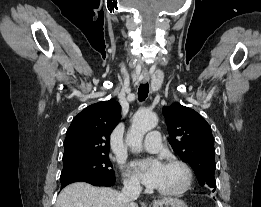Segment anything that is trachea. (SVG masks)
Instances as JSON below:
<instances>
[{
  "label": "trachea",
  "instance_id": "trachea-1",
  "mask_svg": "<svg viewBox=\"0 0 261 207\" xmlns=\"http://www.w3.org/2000/svg\"><path fill=\"white\" fill-rule=\"evenodd\" d=\"M148 93H149V84L148 83L141 84L138 89V100L144 101L147 98Z\"/></svg>",
  "mask_w": 261,
  "mask_h": 207
}]
</instances>
